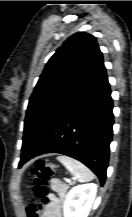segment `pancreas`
<instances>
[{
  "instance_id": "1",
  "label": "pancreas",
  "mask_w": 132,
  "mask_h": 217,
  "mask_svg": "<svg viewBox=\"0 0 132 217\" xmlns=\"http://www.w3.org/2000/svg\"><path fill=\"white\" fill-rule=\"evenodd\" d=\"M68 188H69L68 185H64L63 188L60 190V195L62 196V198H65L66 191Z\"/></svg>"
}]
</instances>
